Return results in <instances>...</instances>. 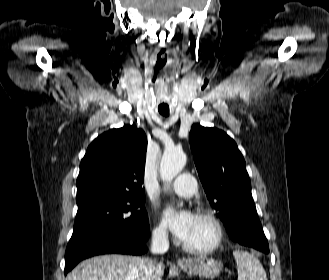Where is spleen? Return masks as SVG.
Returning <instances> with one entry per match:
<instances>
[{
    "label": "spleen",
    "instance_id": "3e777b00",
    "mask_svg": "<svg viewBox=\"0 0 329 280\" xmlns=\"http://www.w3.org/2000/svg\"><path fill=\"white\" fill-rule=\"evenodd\" d=\"M233 256L237 264L238 280H267L266 272L256 257L239 250L233 251Z\"/></svg>",
    "mask_w": 329,
    "mask_h": 280
}]
</instances>
